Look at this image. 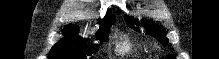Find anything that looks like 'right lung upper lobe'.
I'll return each mask as SVG.
<instances>
[{"label":"right lung upper lobe","mask_w":219,"mask_h":59,"mask_svg":"<svg viewBox=\"0 0 219 59\" xmlns=\"http://www.w3.org/2000/svg\"><path fill=\"white\" fill-rule=\"evenodd\" d=\"M113 22H114V18L112 16V14L107 13L106 16L100 21V29L112 25ZM69 26L70 27H76L74 25H69Z\"/></svg>","instance_id":"obj_1"}]
</instances>
